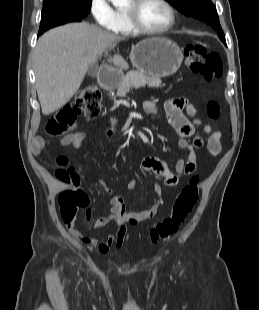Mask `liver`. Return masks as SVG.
Returning a JSON list of instances; mask_svg holds the SVG:
<instances>
[{
  "label": "liver",
  "mask_w": 259,
  "mask_h": 310,
  "mask_svg": "<svg viewBox=\"0 0 259 310\" xmlns=\"http://www.w3.org/2000/svg\"><path fill=\"white\" fill-rule=\"evenodd\" d=\"M122 38L88 23L54 28L40 37L34 51L36 88L42 113L49 115L64 106L77 92L89 67ZM112 62L128 68L115 54Z\"/></svg>",
  "instance_id": "6515ba94"
}]
</instances>
